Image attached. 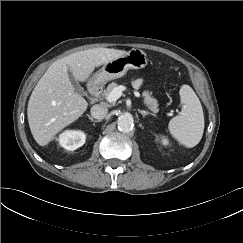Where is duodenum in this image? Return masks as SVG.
Returning a JSON list of instances; mask_svg holds the SVG:
<instances>
[{"instance_id":"410a0bca","label":"duodenum","mask_w":243,"mask_h":243,"mask_svg":"<svg viewBox=\"0 0 243 243\" xmlns=\"http://www.w3.org/2000/svg\"><path fill=\"white\" fill-rule=\"evenodd\" d=\"M88 92H89L90 99L94 100L97 97V95L99 94L100 89L97 85L91 84L88 88Z\"/></svg>"}]
</instances>
